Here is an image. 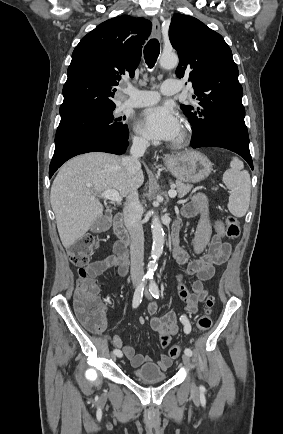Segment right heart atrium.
Segmentation results:
<instances>
[{
	"label": "right heart atrium",
	"instance_id": "right-heart-atrium-1",
	"mask_svg": "<svg viewBox=\"0 0 283 434\" xmlns=\"http://www.w3.org/2000/svg\"><path fill=\"white\" fill-rule=\"evenodd\" d=\"M133 142L138 147H144L147 145V140L144 137L139 136V135H135L133 137Z\"/></svg>",
	"mask_w": 283,
	"mask_h": 434
}]
</instances>
